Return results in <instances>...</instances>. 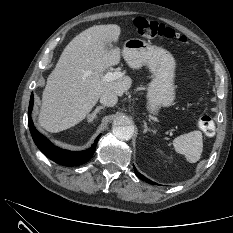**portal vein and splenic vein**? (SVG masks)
<instances>
[{
	"label": "portal vein and splenic vein",
	"instance_id": "18ae733b",
	"mask_svg": "<svg viewBox=\"0 0 233 233\" xmlns=\"http://www.w3.org/2000/svg\"><path fill=\"white\" fill-rule=\"evenodd\" d=\"M123 77V73L121 72H107L104 76H103V80L107 81V82H111L117 79H120Z\"/></svg>",
	"mask_w": 233,
	"mask_h": 233
}]
</instances>
